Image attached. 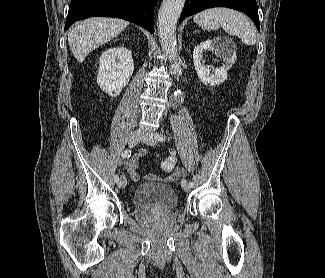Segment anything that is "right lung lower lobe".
<instances>
[{
  "label": "right lung lower lobe",
  "mask_w": 325,
  "mask_h": 278,
  "mask_svg": "<svg viewBox=\"0 0 325 278\" xmlns=\"http://www.w3.org/2000/svg\"><path fill=\"white\" fill-rule=\"evenodd\" d=\"M158 0H72L65 23L67 30L75 21L94 16L117 17L154 30V8Z\"/></svg>",
  "instance_id": "98d812e1"
}]
</instances>
